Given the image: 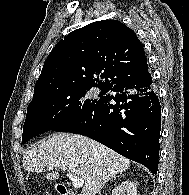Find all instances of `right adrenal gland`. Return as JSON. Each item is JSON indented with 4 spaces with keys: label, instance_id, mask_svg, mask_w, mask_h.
I'll return each instance as SVG.
<instances>
[{
    "label": "right adrenal gland",
    "instance_id": "1",
    "mask_svg": "<svg viewBox=\"0 0 189 195\" xmlns=\"http://www.w3.org/2000/svg\"><path fill=\"white\" fill-rule=\"evenodd\" d=\"M120 176H121V175H120ZM120 176H118V177H120ZM115 178H116V176L113 177V179H115Z\"/></svg>",
    "mask_w": 189,
    "mask_h": 195
}]
</instances>
